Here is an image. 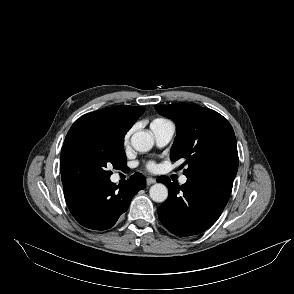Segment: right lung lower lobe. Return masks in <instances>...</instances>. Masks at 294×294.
Instances as JSON below:
<instances>
[{
  "label": "right lung lower lobe",
  "mask_w": 294,
  "mask_h": 294,
  "mask_svg": "<svg viewBox=\"0 0 294 294\" xmlns=\"http://www.w3.org/2000/svg\"><path fill=\"white\" fill-rule=\"evenodd\" d=\"M145 186V177L135 173L122 186H116L110 178L66 186L64 196L78 223L89 229L106 230L116 223L134 195Z\"/></svg>",
  "instance_id": "obj_1"
}]
</instances>
